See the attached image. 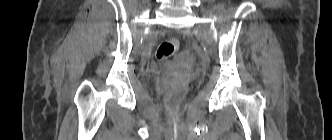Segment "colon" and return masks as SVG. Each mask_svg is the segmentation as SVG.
<instances>
[{
	"mask_svg": "<svg viewBox=\"0 0 332 140\" xmlns=\"http://www.w3.org/2000/svg\"><path fill=\"white\" fill-rule=\"evenodd\" d=\"M179 48L177 39H168L159 44L155 56L159 61L168 60Z\"/></svg>",
	"mask_w": 332,
	"mask_h": 140,
	"instance_id": "colon-1",
	"label": "colon"
}]
</instances>
